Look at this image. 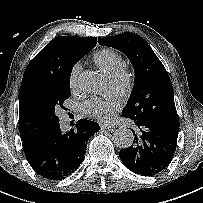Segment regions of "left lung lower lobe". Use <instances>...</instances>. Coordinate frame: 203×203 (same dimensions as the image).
Returning <instances> with one entry per match:
<instances>
[{"label":"left lung lower lobe","instance_id":"1","mask_svg":"<svg viewBox=\"0 0 203 203\" xmlns=\"http://www.w3.org/2000/svg\"><path fill=\"white\" fill-rule=\"evenodd\" d=\"M133 145L120 150L123 164L132 172L152 176L171 162L177 144L179 122L135 121Z\"/></svg>","mask_w":203,"mask_h":203}]
</instances>
